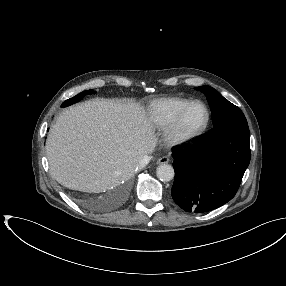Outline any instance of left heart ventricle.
I'll return each mask as SVG.
<instances>
[{"label":"left heart ventricle","instance_id":"1","mask_svg":"<svg viewBox=\"0 0 286 286\" xmlns=\"http://www.w3.org/2000/svg\"><path fill=\"white\" fill-rule=\"evenodd\" d=\"M205 116V109L202 105L197 104L193 106L185 118L183 131L189 132L199 128L204 123Z\"/></svg>","mask_w":286,"mask_h":286}]
</instances>
